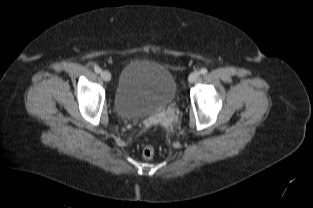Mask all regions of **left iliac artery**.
Listing matches in <instances>:
<instances>
[{"mask_svg":"<svg viewBox=\"0 0 313 208\" xmlns=\"http://www.w3.org/2000/svg\"><path fill=\"white\" fill-rule=\"evenodd\" d=\"M207 72H208V70L206 68H202L200 70V73L203 74V75L207 74Z\"/></svg>","mask_w":313,"mask_h":208,"instance_id":"1","label":"left iliac artery"}]
</instances>
